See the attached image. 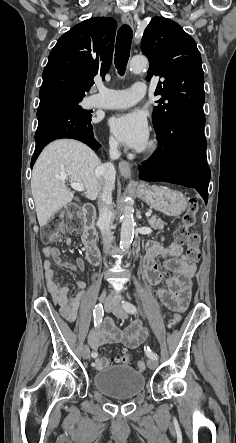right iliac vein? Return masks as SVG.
Returning <instances> with one entry per match:
<instances>
[{"label": "right iliac vein", "mask_w": 236, "mask_h": 443, "mask_svg": "<svg viewBox=\"0 0 236 443\" xmlns=\"http://www.w3.org/2000/svg\"><path fill=\"white\" fill-rule=\"evenodd\" d=\"M113 308V305L110 303H106L104 305V310L106 312H109L111 309ZM81 355L84 359H88L90 357V349L87 345H84L82 350H81Z\"/></svg>", "instance_id": "right-iliac-vein-1"}]
</instances>
